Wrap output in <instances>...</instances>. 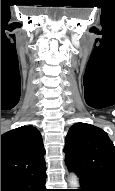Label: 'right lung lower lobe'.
<instances>
[{
	"label": "right lung lower lobe",
	"mask_w": 115,
	"mask_h": 191,
	"mask_svg": "<svg viewBox=\"0 0 115 191\" xmlns=\"http://www.w3.org/2000/svg\"><path fill=\"white\" fill-rule=\"evenodd\" d=\"M45 182V172L19 180L4 179L1 180V191H47Z\"/></svg>",
	"instance_id": "right-lung-lower-lobe-1"
}]
</instances>
